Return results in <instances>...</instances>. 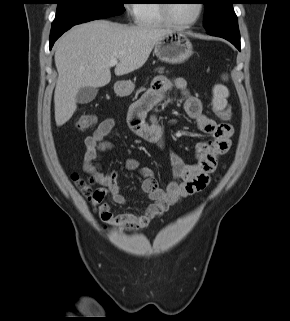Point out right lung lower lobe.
<instances>
[{
	"instance_id": "98d812e1",
	"label": "right lung lower lobe",
	"mask_w": 290,
	"mask_h": 321,
	"mask_svg": "<svg viewBox=\"0 0 290 321\" xmlns=\"http://www.w3.org/2000/svg\"><path fill=\"white\" fill-rule=\"evenodd\" d=\"M74 25H69L62 28H52L50 34V49L52 48L54 42L68 29L73 27Z\"/></svg>"
}]
</instances>
